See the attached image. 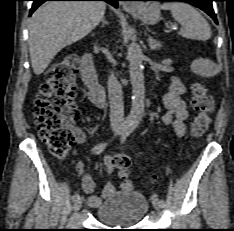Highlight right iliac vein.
Listing matches in <instances>:
<instances>
[{"label": "right iliac vein", "instance_id": "1", "mask_svg": "<svg viewBox=\"0 0 234 231\" xmlns=\"http://www.w3.org/2000/svg\"><path fill=\"white\" fill-rule=\"evenodd\" d=\"M82 207V198H78L73 205V210L77 212Z\"/></svg>", "mask_w": 234, "mask_h": 231}]
</instances>
